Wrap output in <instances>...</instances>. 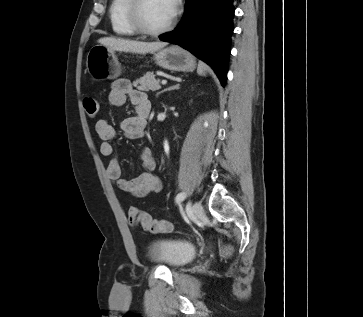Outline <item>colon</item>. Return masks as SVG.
I'll return each instance as SVG.
<instances>
[{
    "instance_id": "obj_1",
    "label": "colon",
    "mask_w": 363,
    "mask_h": 317,
    "mask_svg": "<svg viewBox=\"0 0 363 317\" xmlns=\"http://www.w3.org/2000/svg\"><path fill=\"white\" fill-rule=\"evenodd\" d=\"M83 106L86 114L90 118H95L99 111V103L94 97H86L83 100ZM129 221L133 225L141 226L145 231L153 234L168 232L172 229V224L165 219H155L148 213L137 207H131L128 211ZM231 247L226 245L223 248V254L229 255Z\"/></svg>"
}]
</instances>
